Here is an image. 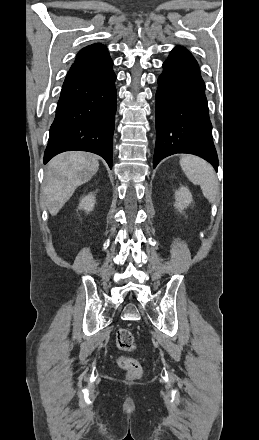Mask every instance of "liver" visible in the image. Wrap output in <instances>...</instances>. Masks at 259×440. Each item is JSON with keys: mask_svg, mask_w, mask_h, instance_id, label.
I'll use <instances>...</instances> for the list:
<instances>
[{"mask_svg": "<svg viewBox=\"0 0 259 440\" xmlns=\"http://www.w3.org/2000/svg\"><path fill=\"white\" fill-rule=\"evenodd\" d=\"M98 157L82 151L64 152L47 165L43 194L52 216L62 209L77 187L88 182L98 171Z\"/></svg>", "mask_w": 259, "mask_h": 440, "instance_id": "obj_1", "label": "liver"}]
</instances>
